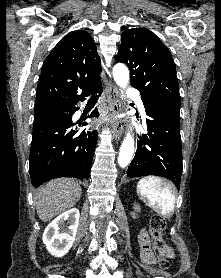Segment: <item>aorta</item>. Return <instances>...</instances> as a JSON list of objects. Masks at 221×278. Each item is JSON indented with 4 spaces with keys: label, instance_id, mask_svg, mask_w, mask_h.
Returning <instances> with one entry per match:
<instances>
[{
    "label": "aorta",
    "instance_id": "762f6f07",
    "mask_svg": "<svg viewBox=\"0 0 221 278\" xmlns=\"http://www.w3.org/2000/svg\"><path fill=\"white\" fill-rule=\"evenodd\" d=\"M113 78L118 86L125 89L129 82V70L123 63H117L113 67ZM134 152V139L130 132H128L123 139L120 147L118 164L120 167H126L133 156Z\"/></svg>",
    "mask_w": 221,
    "mask_h": 278
}]
</instances>
